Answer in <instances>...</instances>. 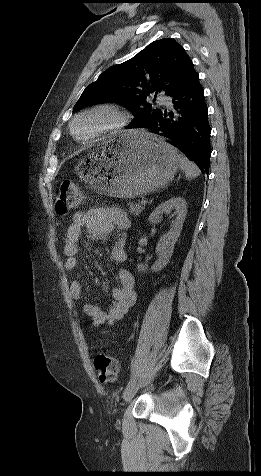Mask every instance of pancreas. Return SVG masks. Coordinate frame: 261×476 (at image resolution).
<instances>
[{"label": "pancreas", "instance_id": "pancreas-1", "mask_svg": "<svg viewBox=\"0 0 261 476\" xmlns=\"http://www.w3.org/2000/svg\"><path fill=\"white\" fill-rule=\"evenodd\" d=\"M144 209L143 204L140 202L135 203V202H130L129 203V212L135 216H138Z\"/></svg>", "mask_w": 261, "mask_h": 476}]
</instances>
